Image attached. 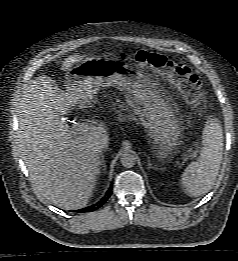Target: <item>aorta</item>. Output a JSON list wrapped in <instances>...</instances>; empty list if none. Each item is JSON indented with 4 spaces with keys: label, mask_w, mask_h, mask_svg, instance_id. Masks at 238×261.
<instances>
[{
    "label": "aorta",
    "mask_w": 238,
    "mask_h": 261,
    "mask_svg": "<svg viewBox=\"0 0 238 261\" xmlns=\"http://www.w3.org/2000/svg\"><path fill=\"white\" fill-rule=\"evenodd\" d=\"M120 162H121L123 167L131 168L136 163V157L132 153H124V154H122V156L120 158Z\"/></svg>",
    "instance_id": "1"
}]
</instances>
